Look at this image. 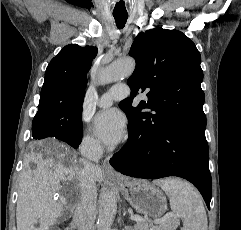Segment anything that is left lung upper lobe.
Segmentation results:
<instances>
[{"instance_id": "obj_1", "label": "left lung upper lobe", "mask_w": 241, "mask_h": 230, "mask_svg": "<svg viewBox=\"0 0 241 230\" xmlns=\"http://www.w3.org/2000/svg\"><path fill=\"white\" fill-rule=\"evenodd\" d=\"M129 55L136 60L127 81L132 96L145 92L148 97L135 108L132 98L120 103L129 122H137L149 136L159 135L169 126L205 130L201 57L188 37L177 30H148L136 37Z\"/></svg>"}]
</instances>
